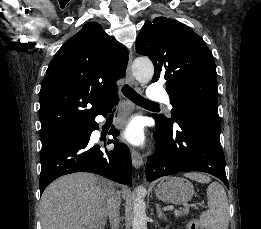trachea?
<instances>
[{"label":"trachea","mask_w":261,"mask_h":229,"mask_svg":"<svg viewBox=\"0 0 261 229\" xmlns=\"http://www.w3.org/2000/svg\"><path fill=\"white\" fill-rule=\"evenodd\" d=\"M123 94L132 102L137 105L143 106L144 104H153L152 100L145 99L142 95H139L135 90H133L129 85H124L122 88Z\"/></svg>","instance_id":"trachea-1"}]
</instances>
